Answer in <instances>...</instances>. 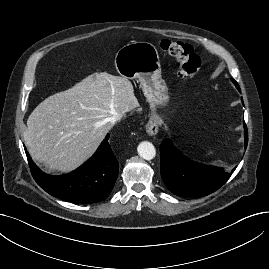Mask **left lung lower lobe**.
I'll list each match as a JSON object with an SVG mask.
<instances>
[{
	"label": "left lung lower lobe",
	"mask_w": 269,
	"mask_h": 269,
	"mask_svg": "<svg viewBox=\"0 0 269 269\" xmlns=\"http://www.w3.org/2000/svg\"><path fill=\"white\" fill-rule=\"evenodd\" d=\"M240 91V88H238ZM245 148L248 143V131L244 122ZM161 176L167 188L174 194L186 197L208 195L230 178L231 173L222 168L195 163L185 157L172 143L165 139L160 145ZM235 168L232 170V172Z\"/></svg>",
	"instance_id": "1"
}]
</instances>
